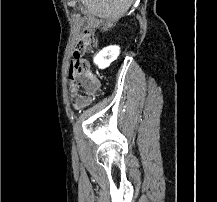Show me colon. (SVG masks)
<instances>
[{"instance_id": "obj_1", "label": "colon", "mask_w": 217, "mask_h": 202, "mask_svg": "<svg viewBox=\"0 0 217 202\" xmlns=\"http://www.w3.org/2000/svg\"><path fill=\"white\" fill-rule=\"evenodd\" d=\"M79 41H76V46H89V41H94V36H79ZM73 54H85V49H73ZM69 64H73L68 71L70 78L69 86L71 91H77L74 94L75 98L71 99L72 103L87 104L92 98L96 97V92L100 91V86H97L96 81L87 72L88 59H83L82 55H73L72 59L68 60Z\"/></svg>"}]
</instances>
